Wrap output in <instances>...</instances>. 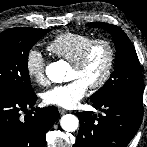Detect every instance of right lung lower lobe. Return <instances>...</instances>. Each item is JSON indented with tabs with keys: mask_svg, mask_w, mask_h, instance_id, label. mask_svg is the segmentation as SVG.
I'll use <instances>...</instances> for the list:
<instances>
[{
	"mask_svg": "<svg viewBox=\"0 0 147 147\" xmlns=\"http://www.w3.org/2000/svg\"><path fill=\"white\" fill-rule=\"evenodd\" d=\"M36 95L0 96V147H45L46 132L59 117L56 107L34 108ZM32 112L21 117V111Z\"/></svg>",
	"mask_w": 147,
	"mask_h": 147,
	"instance_id": "right-lung-lower-lobe-1",
	"label": "right lung lower lobe"
}]
</instances>
